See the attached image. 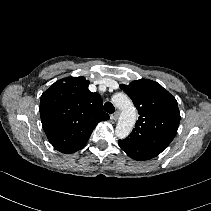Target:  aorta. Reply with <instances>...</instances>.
Masks as SVG:
<instances>
[{
	"mask_svg": "<svg viewBox=\"0 0 211 211\" xmlns=\"http://www.w3.org/2000/svg\"><path fill=\"white\" fill-rule=\"evenodd\" d=\"M112 101L122 111L118 119L115 134L119 139H125L135 125L137 117L136 109L131 99L124 93L114 95Z\"/></svg>",
	"mask_w": 211,
	"mask_h": 211,
	"instance_id": "aorta-1",
	"label": "aorta"
}]
</instances>
